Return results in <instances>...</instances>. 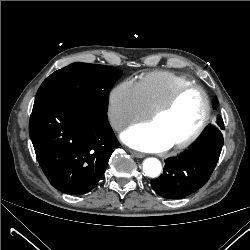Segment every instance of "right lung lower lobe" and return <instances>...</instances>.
<instances>
[{
    "label": "right lung lower lobe",
    "mask_w": 250,
    "mask_h": 250,
    "mask_svg": "<svg viewBox=\"0 0 250 250\" xmlns=\"http://www.w3.org/2000/svg\"><path fill=\"white\" fill-rule=\"evenodd\" d=\"M29 134L50 183L73 195L96 186L120 146L107 111L64 95L35 99Z\"/></svg>",
    "instance_id": "98d812e1"
}]
</instances>
